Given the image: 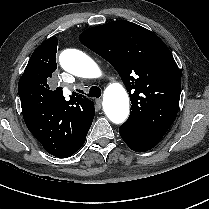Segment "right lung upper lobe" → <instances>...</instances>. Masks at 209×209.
<instances>
[{
	"label": "right lung upper lobe",
	"instance_id": "cb5924a9",
	"mask_svg": "<svg viewBox=\"0 0 209 209\" xmlns=\"http://www.w3.org/2000/svg\"><path fill=\"white\" fill-rule=\"evenodd\" d=\"M57 42L56 37H51L37 47L22 75L29 72L36 58L53 59L57 52ZM19 96L21 102L27 101L30 98L50 101L56 108L52 126L67 130L66 133H68L71 143L75 144L86 138L95 115L93 101L76 93H73L70 100L67 101L60 87L54 91L48 90L45 95H40L30 90L20 91Z\"/></svg>",
	"mask_w": 209,
	"mask_h": 209
}]
</instances>
